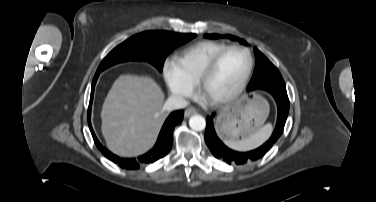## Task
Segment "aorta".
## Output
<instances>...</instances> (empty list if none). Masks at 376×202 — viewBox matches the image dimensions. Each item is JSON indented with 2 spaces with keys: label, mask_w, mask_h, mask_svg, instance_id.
Instances as JSON below:
<instances>
[{
  "label": "aorta",
  "mask_w": 376,
  "mask_h": 202,
  "mask_svg": "<svg viewBox=\"0 0 376 202\" xmlns=\"http://www.w3.org/2000/svg\"><path fill=\"white\" fill-rule=\"evenodd\" d=\"M189 126L195 131H202L206 127L205 118L196 114L189 119Z\"/></svg>",
  "instance_id": "1"
}]
</instances>
